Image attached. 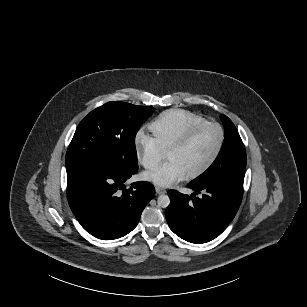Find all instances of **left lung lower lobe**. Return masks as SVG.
<instances>
[{
  "label": "left lung lower lobe",
  "instance_id": "1",
  "mask_svg": "<svg viewBox=\"0 0 307 307\" xmlns=\"http://www.w3.org/2000/svg\"><path fill=\"white\" fill-rule=\"evenodd\" d=\"M191 196L170 190L165 216L170 229L191 243H205L220 235L235 217L241 204L243 186L215 181L201 186L188 185ZM203 191L201 198L196 197Z\"/></svg>",
  "mask_w": 307,
  "mask_h": 307
}]
</instances>
